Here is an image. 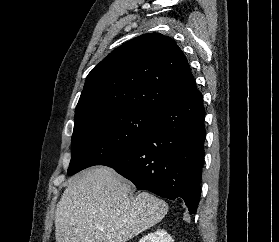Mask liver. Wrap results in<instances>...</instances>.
<instances>
[{"mask_svg": "<svg viewBox=\"0 0 279 242\" xmlns=\"http://www.w3.org/2000/svg\"><path fill=\"white\" fill-rule=\"evenodd\" d=\"M131 188L109 167L69 179L55 211L56 242H126L167 214L165 201L148 192L133 197Z\"/></svg>", "mask_w": 279, "mask_h": 242, "instance_id": "obj_1", "label": "liver"}]
</instances>
